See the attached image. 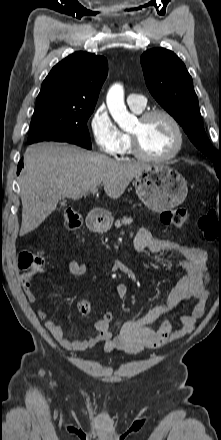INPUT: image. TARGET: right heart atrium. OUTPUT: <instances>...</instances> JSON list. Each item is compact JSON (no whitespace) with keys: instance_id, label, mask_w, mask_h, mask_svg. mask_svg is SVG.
I'll return each mask as SVG.
<instances>
[{"instance_id":"1","label":"right heart atrium","mask_w":221,"mask_h":440,"mask_svg":"<svg viewBox=\"0 0 221 440\" xmlns=\"http://www.w3.org/2000/svg\"><path fill=\"white\" fill-rule=\"evenodd\" d=\"M92 138L99 151L110 156H116L123 151L125 138L120 129L110 117L105 106H98L89 120Z\"/></svg>"}]
</instances>
